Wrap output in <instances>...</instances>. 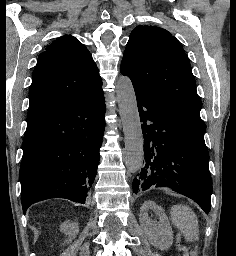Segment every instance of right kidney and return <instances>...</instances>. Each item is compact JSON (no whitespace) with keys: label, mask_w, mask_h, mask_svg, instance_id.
I'll list each match as a JSON object with an SVG mask.
<instances>
[{"label":"right kidney","mask_w":236,"mask_h":256,"mask_svg":"<svg viewBox=\"0 0 236 256\" xmlns=\"http://www.w3.org/2000/svg\"><path fill=\"white\" fill-rule=\"evenodd\" d=\"M60 232L66 234L67 240H65L66 244H71L72 240L76 238L77 234H79V226L76 222H63L60 226Z\"/></svg>","instance_id":"right-kidney-1"}]
</instances>
